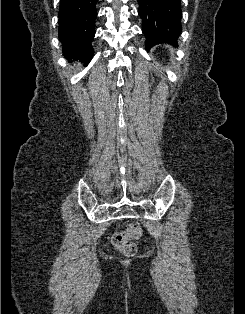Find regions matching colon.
<instances>
[{
  "label": "colon",
  "mask_w": 245,
  "mask_h": 314,
  "mask_svg": "<svg viewBox=\"0 0 245 314\" xmlns=\"http://www.w3.org/2000/svg\"><path fill=\"white\" fill-rule=\"evenodd\" d=\"M142 235V230L137 224H130L123 232L112 236V244L125 256H133L136 253L135 240Z\"/></svg>",
  "instance_id": "1"
}]
</instances>
